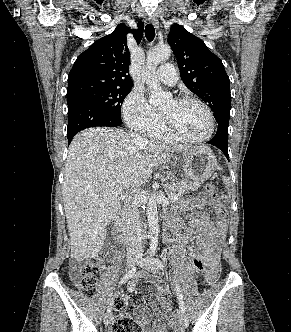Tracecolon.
Instances as JSON below:
<instances>
[{"mask_svg": "<svg viewBox=\"0 0 291 332\" xmlns=\"http://www.w3.org/2000/svg\"><path fill=\"white\" fill-rule=\"evenodd\" d=\"M205 193L215 208L217 217L221 227H224L227 222V211L225 206L220 200L219 195L216 193L214 186L207 184L205 186ZM105 257L98 256L83 264L73 263L71 265V276L78 283L81 289L89 291L95 288L97 284L98 272L104 263ZM220 274L219 263H216L207 268L205 278L208 284H214ZM123 302L120 298L115 300V308L120 309ZM113 332H142L141 325L133 318L125 316L119 318L113 325Z\"/></svg>", "mask_w": 291, "mask_h": 332, "instance_id": "5ec220e1", "label": "colon"}]
</instances>
